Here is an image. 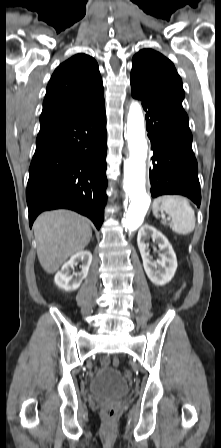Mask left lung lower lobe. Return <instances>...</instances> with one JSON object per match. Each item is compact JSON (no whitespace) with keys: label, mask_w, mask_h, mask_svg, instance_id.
Returning <instances> with one entry per match:
<instances>
[{"label":"left lung lower lobe","mask_w":221,"mask_h":448,"mask_svg":"<svg viewBox=\"0 0 221 448\" xmlns=\"http://www.w3.org/2000/svg\"><path fill=\"white\" fill-rule=\"evenodd\" d=\"M146 129L151 140L153 163L150 170L151 195L180 194L199 207L201 202L197 161L192 151L189 125L178 121L163 109L144 101Z\"/></svg>","instance_id":"left-lung-lower-lobe-1"}]
</instances>
